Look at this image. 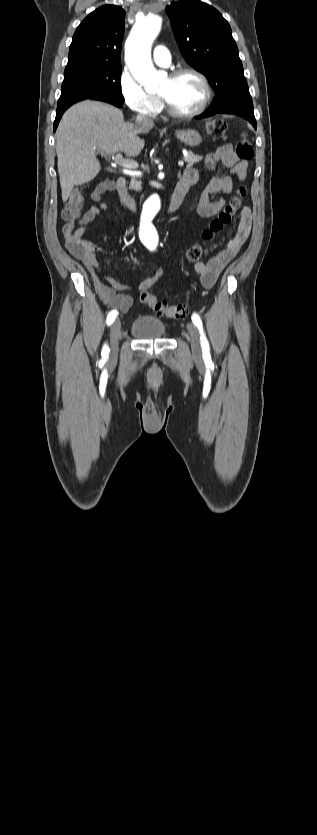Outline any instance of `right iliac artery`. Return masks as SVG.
I'll return each mask as SVG.
<instances>
[{
  "label": "right iliac artery",
  "instance_id": "82829eb1",
  "mask_svg": "<svg viewBox=\"0 0 317 835\" xmlns=\"http://www.w3.org/2000/svg\"><path fill=\"white\" fill-rule=\"evenodd\" d=\"M117 314H118V312L116 310H112V311L109 312V314L107 316V320H106L108 325L113 323V321L117 317ZM108 352H109V348L105 345L104 348H103L102 355L107 356Z\"/></svg>",
  "mask_w": 317,
  "mask_h": 835
}]
</instances>
